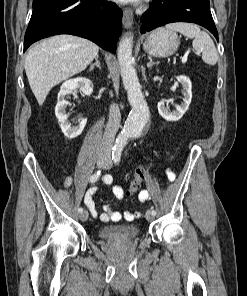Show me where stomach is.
I'll return each mask as SVG.
<instances>
[{
	"label": "stomach",
	"mask_w": 247,
	"mask_h": 296,
	"mask_svg": "<svg viewBox=\"0 0 247 296\" xmlns=\"http://www.w3.org/2000/svg\"><path fill=\"white\" fill-rule=\"evenodd\" d=\"M180 45L178 35L164 28L154 30L145 40L143 49L155 57H169L173 55Z\"/></svg>",
	"instance_id": "0dacf381"
}]
</instances>
